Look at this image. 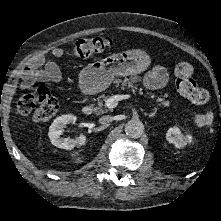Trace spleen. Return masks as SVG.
<instances>
[{
	"label": "spleen",
	"instance_id": "3e777b00",
	"mask_svg": "<svg viewBox=\"0 0 221 221\" xmlns=\"http://www.w3.org/2000/svg\"><path fill=\"white\" fill-rule=\"evenodd\" d=\"M194 121L198 127L211 125L213 122V113L209 112L206 115H195Z\"/></svg>",
	"mask_w": 221,
	"mask_h": 221
}]
</instances>
